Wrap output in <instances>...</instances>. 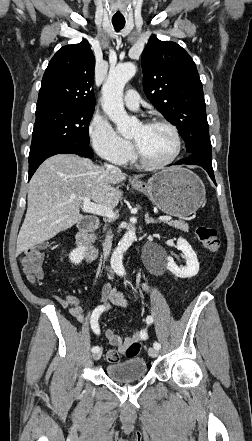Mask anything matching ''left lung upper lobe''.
<instances>
[{"mask_svg":"<svg viewBox=\"0 0 252 441\" xmlns=\"http://www.w3.org/2000/svg\"><path fill=\"white\" fill-rule=\"evenodd\" d=\"M142 70L147 98L177 126L187 151L211 155L202 83L189 54L152 35L142 54Z\"/></svg>","mask_w":252,"mask_h":441,"instance_id":"1","label":"left lung upper lobe"}]
</instances>
